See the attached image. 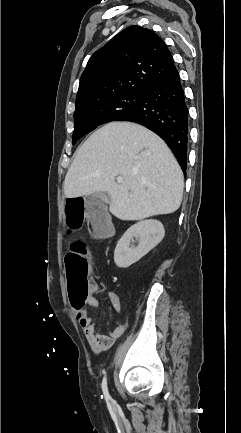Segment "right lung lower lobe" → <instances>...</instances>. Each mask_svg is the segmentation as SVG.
I'll list each match as a JSON object with an SVG mask.
<instances>
[{
  "label": "right lung lower lobe",
  "mask_w": 241,
  "mask_h": 433,
  "mask_svg": "<svg viewBox=\"0 0 241 433\" xmlns=\"http://www.w3.org/2000/svg\"><path fill=\"white\" fill-rule=\"evenodd\" d=\"M119 121L136 122L155 132L167 143L186 171L189 116L177 70L147 85L141 103Z\"/></svg>",
  "instance_id": "1"
}]
</instances>
